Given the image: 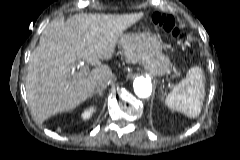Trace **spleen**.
<instances>
[{
	"label": "spleen",
	"instance_id": "3e777b00",
	"mask_svg": "<svg viewBox=\"0 0 240 160\" xmlns=\"http://www.w3.org/2000/svg\"><path fill=\"white\" fill-rule=\"evenodd\" d=\"M204 98V75L199 67L191 68L166 97V105L188 117L200 114Z\"/></svg>",
	"mask_w": 240,
	"mask_h": 160
}]
</instances>
